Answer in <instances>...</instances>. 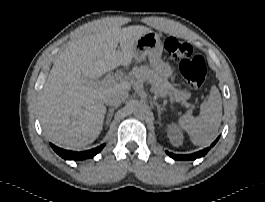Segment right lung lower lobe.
Listing matches in <instances>:
<instances>
[{
  "label": "right lung lower lobe",
  "mask_w": 265,
  "mask_h": 202,
  "mask_svg": "<svg viewBox=\"0 0 265 202\" xmlns=\"http://www.w3.org/2000/svg\"><path fill=\"white\" fill-rule=\"evenodd\" d=\"M104 146H105V144L98 146V147L91 149V150H87V151H83V152H73V151H68V150L58 148L57 146H54L53 144H51V147L53 148V150L58 155H60L62 158L67 159V160H74V161L92 158L97 153H99L103 149Z\"/></svg>",
  "instance_id": "1"
}]
</instances>
